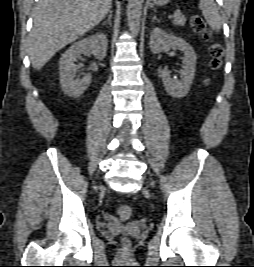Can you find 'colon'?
Returning a JSON list of instances; mask_svg holds the SVG:
<instances>
[{"instance_id": "1", "label": "colon", "mask_w": 254, "mask_h": 267, "mask_svg": "<svg viewBox=\"0 0 254 267\" xmlns=\"http://www.w3.org/2000/svg\"><path fill=\"white\" fill-rule=\"evenodd\" d=\"M192 28L202 35L206 40H211V33L207 28V25L204 19L199 15H194L191 19ZM209 52L211 56L210 60V68L214 71L220 69L222 65V59L224 55V48L218 42H211L209 47ZM132 214V210L128 205H121L118 208V216L122 220H127L130 218ZM122 243L125 247L130 245V240L128 238H124Z\"/></svg>"}]
</instances>
